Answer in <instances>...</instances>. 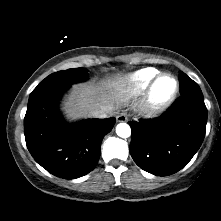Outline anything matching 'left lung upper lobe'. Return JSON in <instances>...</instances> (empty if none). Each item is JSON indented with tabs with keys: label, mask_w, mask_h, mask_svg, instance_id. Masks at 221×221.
<instances>
[{
	"label": "left lung upper lobe",
	"mask_w": 221,
	"mask_h": 221,
	"mask_svg": "<svg viewBox=\"0 0 221 221\" xmlns=\"http://www.w3.org/2000/svg\"><path fill=\"white\" fill-rule=\"evenodd\" d=\"M180 81V94H202L200 87L196 82L190 79L185 73L180 72L179 74Z\"/></svg>",
	"instance_id": "5c2ea615"
}]
</instances>
